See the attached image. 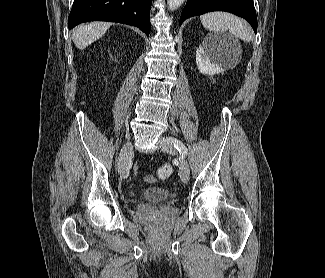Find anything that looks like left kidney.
I'll return each instance as SVG.
<instances>
[{
	"label": "left kidney",
	"mask_w": 325,
	"mask_h": 278,
	"mask_svg": "<svg viewBox=\"0 0 325 278\" xmlns=\"http://www.w3.org/2000/svg\"><path fill=\"white\" fill-rule=\"evenodd\" d=\"M231 53L227 40L218 35H209L196 50L197 67L202 74L210 76L222 73L225 70L223 59Z\"/></svg>",
	"instance_id": "obj_1"
}]
</instances>
